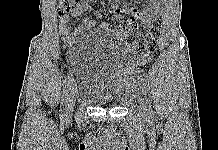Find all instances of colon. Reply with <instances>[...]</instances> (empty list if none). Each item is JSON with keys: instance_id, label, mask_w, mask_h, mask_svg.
<instances>
[{"instance_id": "colon-1", "label": "colon", "mask_w": 218, "mask_h": 150, "mask_svg": "<svg viewBox=\"0 0 218 150\" xmlns=\"http://www.w3.org/2000/svg\"><path fill=\"white\" fill-rule=\"evenodd\" d=\"M80 0H59L58 12L60 15L70 13ZM161 36V21L156 20L145 35L138 29H129L124 40L141 59H146L158 46Z\"/></svg>"}]
</instances>
